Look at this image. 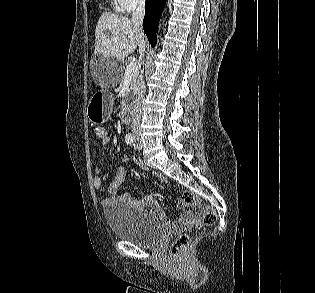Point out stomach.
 Instances as JSON below:
<instances>
[{
    "mask_svg": "<svg viewBox=\"0 0 315 293\" xmlns=\"http://www.w3.org/2000/svg\"><path fill=\"white\" fill-rule=\"evenodd\" d=\"M114 98L111 93H104L103 90L96 92L88 105V117L93 123L105 122L109 119Z\"/></svg>",
    "mask_w": 315,
    "mask_h": 293,
    "instance_id": "1",
    "label": "stomach"
}]
</instances>
